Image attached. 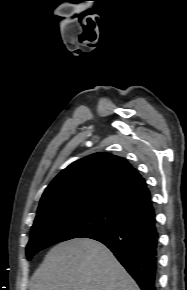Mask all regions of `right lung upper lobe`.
<instances>
[{"label": "right lung upper lobe", "mask_w": 187, "mask_h": 290, "mask_svg": "<svg viewBox=\"0 0 187 290\" xmlns=\"http://www.w3.org/2000/svg\"><path fill=\"white\" fill-rule=\"evenodd\" d=\"M111 208L127 220L154 212L145 180L127 160L95 153L62 170L45 189L37 218L82 207Z\"/></svg>", "instance_id": "obj_1"}]
</instances>
